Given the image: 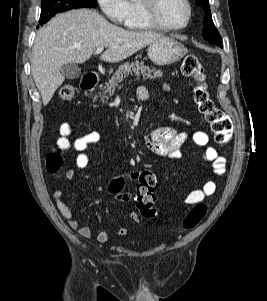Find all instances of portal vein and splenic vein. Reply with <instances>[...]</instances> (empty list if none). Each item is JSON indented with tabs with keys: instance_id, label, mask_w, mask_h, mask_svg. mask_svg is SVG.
<instances>
[{
	"instance_id": "obj_1",
	"label": "portal vein and splenic vein",
	"mask_w": 267,
	"mask_h": 301,
	"mask_svg": "<svg viewBox=\"0 0 267 301\" xmlns=\"http://www.w3.org/2000/svg\"><path fill=\"white\" fill-rule=\"evenodd\" d=\"M103 50H104L103 47H99V48L96 49L95 53L100 54Z\"/></svg>"
}]
</instances>
